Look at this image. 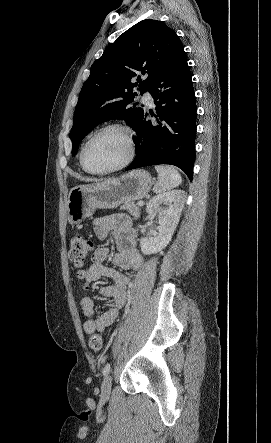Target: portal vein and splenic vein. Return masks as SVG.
Returning <instances> with one entry per match:
<instances>
[{
  "instance_id": "portal-vein-and-splenic-vein-1",
  "label": "portal vein and splenic vein",
  "mask_w": 271,
  "mask_h": 443,
  "mask_svg": "<svg viewBox=\"0 0 271 443\" xmlns=\"http://www.w3.org/2000/svg\"><path fill=\"white\" fill-rule=\"evenodd\" d=\"M144 202H138V206H143Z\"/></svg>"
}]
</instances>
